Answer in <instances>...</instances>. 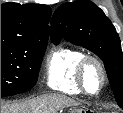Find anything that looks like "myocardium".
<instances>
[{
    "instance_id": "1",
    "label": "myocardium",
    "mask_w": 123,
    "mask_h": 113,
    "mask_svg": "<svg viewBox=\"0 0 123 113\" xmlns=\"http://www.w3.org/2000/svg\"><path fill=\"white\" fill-rule=\"evenodd\" d=\"M90 65H95L100 73V84L98 88L94 91H91L89 89L88 83H87V70ZM76 76H77V82L79 86L82 88V90L85 93L90 94V95L100 94L107 82L106 71H105L104 65L100 61V59H98L94 55H84L81 58L77 66Z\"/></svg>"
}]
</instances>
